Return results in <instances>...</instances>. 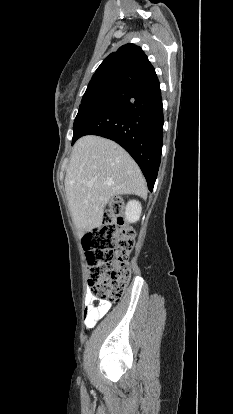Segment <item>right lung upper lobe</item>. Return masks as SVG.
<instances>
[{
    "instance_id": "cb5924a9",
    "label": "right lung upper lobe",
    "mask_w": 233,
    "mask_h": 414,
    "mask_svg": "<svg viewBox=\"0 0 233 414\" xmlns=\"http://www.w3.org/2000/svg\"><path fill=\"white\" fill-rule=\"evenodd\" d=\"M154 74L155 69L142 49L134 44H126L101 63L91 80L119 76L134 81Z\"/></svg>"
}]
</instances>
